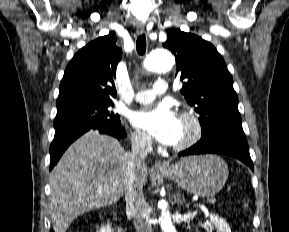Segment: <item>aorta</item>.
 I'll return each mask as SVG.
<instances>
[{
    "label": "aorta",
    "instance_id": "1",
    "mask_svg": "<svg viewBox=\"0 0 289 232\" xmlns=\"http://www.w3.org/2000/svg\"><path fill=\"white\" fill-rule=\"evenodd\" d=\"M175 59L172 54L164 49H156L151 51L144 60V66L151 72H167L173 68ZM162 209L161 217L159 219L161 229L164 232H176L175 225L171 220L167 204L162 201L160 203Z\"/></svg>",
    "mask_w": 289,
    "mask_h": 232
}]
</instances>
